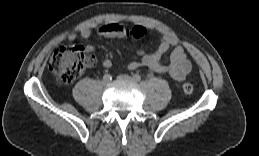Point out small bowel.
<instances>
[{
    "label": "small bowel",
    "instance_id": "obj_1",
    "mask_svg": "<svg viewBox=\"0 0 259 156\" xmlns=\"http://www.w3.org/2000/svg\"><path fill=\"white\" fill-rule=\"evenodd\" d=\"M127 29L118 23H106L98 28L97 34L104 38H124L127 37ZM76 34H71L69 40L73 41ZM79 36L87 39L91 36L89 28H83L79 32ZM132 38V37H131ZM133 41L137 39L132 38ZM171 49L170 61L168 64L162 62L163 55ZM95 50L93 45H86L85 51L93 53ZM140 58L139 61L132 60L127 64L129 70H136L140 67H146L157 73H168L174 80L183 81L191 72V63L187 58L184 48L178 43L177 39L170 35H162L157 48L151 52L139 49L136 52ZM104 67L108 68L112 65L109 58L102 61Z\"/></svg>",
    "mask_w": 259,
    "mask_h": 156
}]
</instances>
